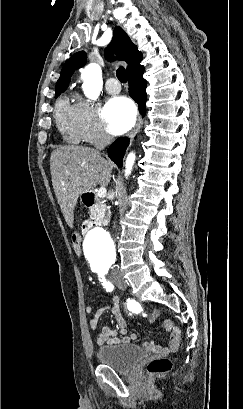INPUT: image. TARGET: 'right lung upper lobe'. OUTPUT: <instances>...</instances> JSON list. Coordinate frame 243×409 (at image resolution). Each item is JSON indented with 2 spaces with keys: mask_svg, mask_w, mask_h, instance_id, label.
<instances>
[{
  "mask_svg": "<svg viewBox=\"0 0 243 409\" xmlns=\"http://www.w3.org/2000/svg\"><path fill=\"white\" fill-rule=\"evenodd\" d=\"M113 52L118 55V59L128 63V77L135 75L138 72L144 71V67L140 65L142 54L137 47L132 43L128 35L120 27L114 29L113 41L105 50V57L108 61H113L116 58ZM86 64V54L84 51L75 53L63 65L60 78L57 81L55 92L61 93L64 91L69 82L72 73L76 68Z\"/></svg>",
  "mask_w": 243,
  "mask_h": 409,
  "instance_id": "right-lung-upper-lobe-1",
  "label": "right lung upper lobe"
}]
</instances>
